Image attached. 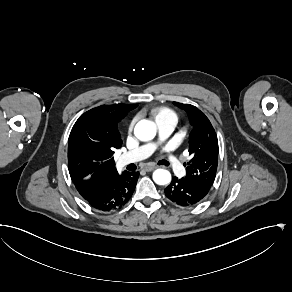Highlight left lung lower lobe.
Returning a JSON list of instances; mask_svg holds the SVG:
<instances>
[{
  "instance_id": "obj_1",
  "label": "left lung lower lobe",
  "mask_w": 292,
  "mask_h": 292,
  "mask_svg": "<svg viewBox=\"0 0 292 292\" xmlns=\"http://www.w3.org/2000/svg\"><path fill=\"white\" fill-rule=\"evenodd\" d=\"M165 195L172 202L180 206H192L200 202L209 190L193 186L183 178L174 177L171 184L165 188Z\"/></svg>"
}]
</instances>
